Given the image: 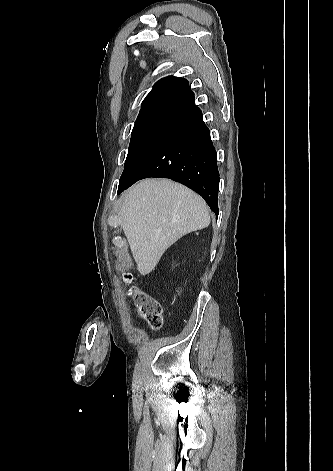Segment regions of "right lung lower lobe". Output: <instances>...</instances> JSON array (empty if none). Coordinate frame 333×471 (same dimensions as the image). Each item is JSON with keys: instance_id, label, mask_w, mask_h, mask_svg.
Returning a JSON list of instances; mask_svg holds the SVG:
<instances>
[{"instance_id": "98d812e1", "label": "right lung lower lobe", "mask_w": 333, "mask_h": 471, "mask_svg": "<svg viewBox=\"0 0 333 471\" xmlns=\"http://www.w3.org/2000/svg\"><path fill=\"white\" fill-rule=\"evenodd\" d=\"M148 177L169 178L186 185L218 216L217 154L198 107L165 129L138 155L122 173L117 193Z\"/></svg>"}]
</instances>
